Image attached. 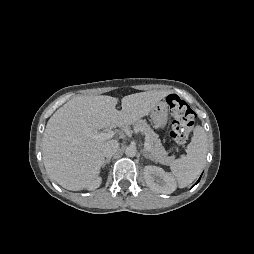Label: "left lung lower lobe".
<instances>
[{"label": "left lung lower lobe", "instance_id": "obj_1", "mask_svg": "<svg viewBox=\"0 0 254 254\" xmlns=\"http://www.w3.org/2000/svg\"><path fill=\"white\" fill-rule=\"evenodd\" d=\"M200 180V179H199ZM199 180L195 183V185L199 182Z\"/></svg>", "mask_w": 254, "mask_h": 254}]
</instances>
